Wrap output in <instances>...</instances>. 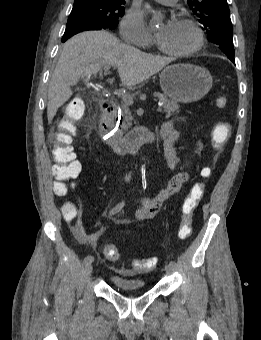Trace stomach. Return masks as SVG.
Masks as SVG:
<instances>
[{
    "instance_id": "stomach-1",
    "label": "stomach",
    "mask_w": 261,
    "mask_h": 340,
    "mask_svg": "<svg viewBox=\"0 0 261 340\" xmlns=\"http://www.w3.org/2000/svg\"><path fill=\"white\" fill-rule=\"evenodd\" d=\"M159 77L164 94L180 103L201 100L208 94L213 84L212 76L207 69L192 64L167 66Z\"/></svg>"
}]
</instances>
